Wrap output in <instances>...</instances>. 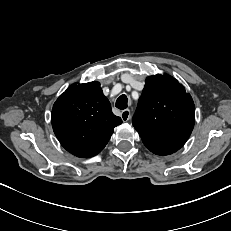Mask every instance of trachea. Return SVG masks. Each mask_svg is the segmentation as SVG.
<instances>
[{
  "label": "trachea",
  "instance_id": "3493384b",
  "mask_svg": "<svg viewBox=\"0 0 231 231\" xmlns=\"http://www.w3.org/2000/svg\"><path fill=\"white\" fill-rule=\"evenodd\" d=\"M127 102H128L127 96L125 94H122L116 100L115 106L120 110H124L127 108Z\"/></svg>",
  "mask_w": 231,
  "mask_h": 231
}]
</instances>
